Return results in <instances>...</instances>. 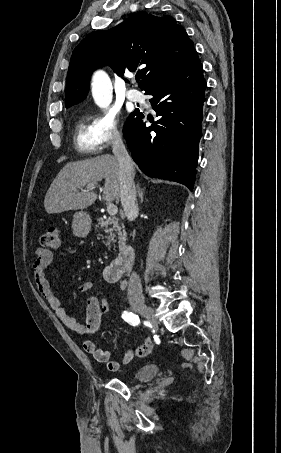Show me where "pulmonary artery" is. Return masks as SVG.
<instances>
[{"label": "pulmonary artery", "instance_id": "obj_1", "mask_svg": "<svg viewBox=\"0 0 281 453\" xmlns=\"http://www.w3.org/2000/svg\"><path fill=\"white\" fill-rule=\"evenodd\" d=\"M126 97L128 100L135 102V103H143L145 105H149V100L144 95L143 92L137 89H128L126 91Z\"/></svg>", "mask_w": 281, "mask_h": 453}]
</instances>
